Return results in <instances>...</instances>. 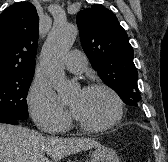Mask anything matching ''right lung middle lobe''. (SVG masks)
Wrapping results in <instances>:
<instances>
[{
  "label": "right lung middle lobe",
  "mask_w": 168,
  "mask_h": 162,
  "mask_svg": "<svg viewBox=\"0 0 168 162\" xmlns=\"http://www.w3.org/2000/svg\"><path fill=\"white\" fill-rule=\"evenodd\" d=\"M34 71L0 78V117L25 120L28 116L26 97Z\"/></svg>",
  "instance_id": "dd1d6c3e"
}]
</instances>
